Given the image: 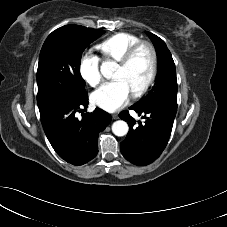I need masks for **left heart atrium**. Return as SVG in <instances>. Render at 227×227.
<instances>
[{
    "mask_svg": "<svg viewBox=\"0 0 227 227\" xmlns=\"http://www.w3.org/2000/svg\"><path fill=\"white\" fill-rule=\"evenodd\" d=\"M131 92L126 84L114 79L105 83L92 96V102L108 112H114L124 107L130 98Z\"/></svg>",
    "mask_w": 227,
    "mask_h": 227,
    "instance_id": "obj_1",
    "label": "left heart atrium"
}]
</instances>
